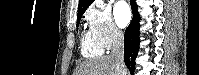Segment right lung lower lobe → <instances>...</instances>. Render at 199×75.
<instances>
[{"instance_id": "obj_1", "label": "right lung lower lobe", "mask_w": 199, "mask_h": 75, "mask_svg": "<svg viewBox=\"0 0 199 75\" xmlns=\"http://www.w3.org/2000/svg\"><path fill=\"white\" fill-rule=\"evenodd\" d=\"M133 19L125 31L124 35V61L131 72L134 73L135 58L139 50V20L140 16L137 11V4L135 0H130Z\"/></svg>"}]
</instances>
